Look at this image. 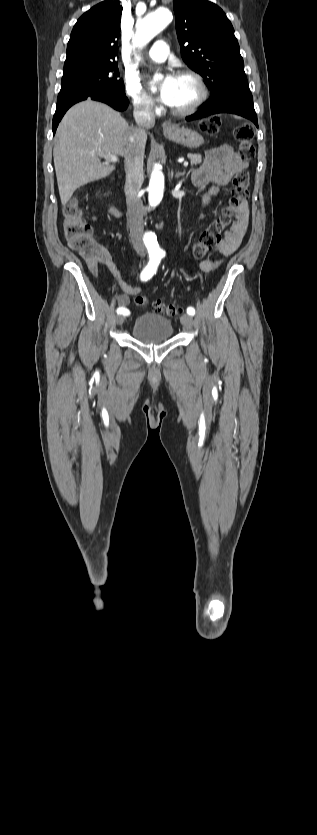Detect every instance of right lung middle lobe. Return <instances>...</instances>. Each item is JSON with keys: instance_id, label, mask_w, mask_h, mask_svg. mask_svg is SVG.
Masks as SVG:
<instances>
[{"instance_id": "right-lung-middle-lobe-1", "label": "right lung middle lobe", "mask_w": 317, "mask_h": 835, "mask_svg": "<svg viewBox=\"0 0 317 835\" xmlns=\"http://www.w3.org/2000/svg\"><path fill=\"white\" fill-rule=\"evenodd\" d=\"M99 90L125 94L117 64L82 61L65 63L58 102Z\"/></svg>"}]
</instances>
